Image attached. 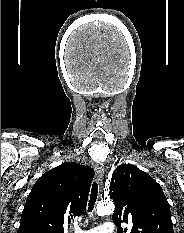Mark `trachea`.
<instances>
[{
	"label": "trachea",
	"mask_w": 184,
	"mask_h": 233,
	"mask_svg": "<svg viewBox=\"0 0 184 233\" xmlns=\"http://www.w3.org/2000/svg\"><path fill=\"white\" fill-rule=\"evenodd\" d=\"M98 196V183L96 181L93 182L92 189H91V194H90V199L88 203V211L92 212L94 209L95 202L97 200Z\"/></svg>",
	"instance_id": "3493384b"
}]
</instances>
